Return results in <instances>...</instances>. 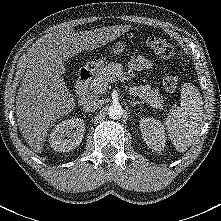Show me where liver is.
I'll return each instance as SVG.
<instances>
[{
	"label": "liver",
	"instance_id": "liver-1",
	"mask_svg": "<svg viewBox=\"0 0 221 221\" xmlns=\"http://www.w3.org/2000/svg\"><path fill=\"white\" fill-rule=\"evenodd\" d=\"M129 26L102 27L75 33L71 28L43 38L32 49L16 96V117L21 134L37 153L56 120L75 108V98L61 71L64 62L84 50H93L124 34Z\"/></svg>",
	"mask_w": 221,
	"mask_h": 221
}]
</instances>
